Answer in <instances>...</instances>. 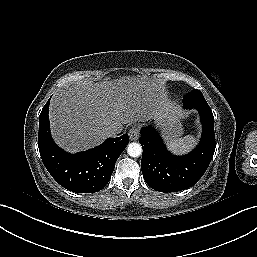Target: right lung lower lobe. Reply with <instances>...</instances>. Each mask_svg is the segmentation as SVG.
Segmentation results:
<instances>
[{
	"label": "right lung lower lobe",
	"mask_w": 257,
	"mask_h": 257,
	"mask_svg": "<svg viewBox=\"0 0 257 257\" xmlns=\"http://www.w3.org/2000/svg\"><path fill=\"white\" fill-rule=\"evenodd\" d=\"M50 99L39 116L38 147L41 159L51 176L65 189L77 193H94L104 188L115 163L126 145L128 134L108 138L85 152L70 154L53 141L49 127Z\"/></svg>",
	"instance_id": "obj_1"
}]
</instances>
